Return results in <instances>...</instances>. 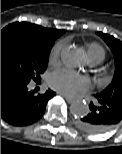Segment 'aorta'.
<instances>
[{
	"label": "aorta",
	"instance_id": "1",
	"mask_svg": "<svg viewBox=\"0 0 122 154\" xmlns=\"http://www.w3.org/2000/svg\"><path fill=\"white\" fill-rule=\"evenodd\" d=\"M61 60L65 66L76 68L82 64L83 54L76 47H66L61 52ZM70 112L74 116L82 117L89 113V107L83 101H75L70 106Z\"/></svg>",
	"mask_w": 122,
	"mask_h": 154
}]
</instances>
